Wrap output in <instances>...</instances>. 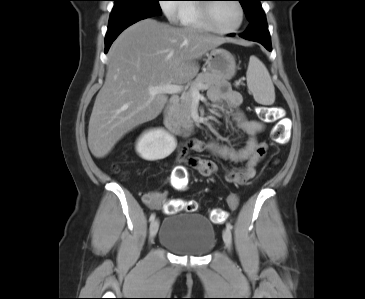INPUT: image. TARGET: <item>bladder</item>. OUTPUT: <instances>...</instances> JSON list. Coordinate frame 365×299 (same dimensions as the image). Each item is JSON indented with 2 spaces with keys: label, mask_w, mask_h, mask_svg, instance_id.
<instances>
[{
  "label": "bladder",
  "mask_w": 365,
  "mask_h": 299,
  "mask_svg": "<svg viewBox=\"0 0 365 299\" xmlns=\"http://www.w3.org/2000/svg\"><path fill=\"white\" fill-rule=\"evenodd\" d=\"M158 241L170 251L188 256H203L216 246L212 222L197 213L170 214L159 231Z\"/></svg>",
  "instance_id": "bladder-1"
}]
</instances>
